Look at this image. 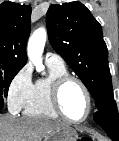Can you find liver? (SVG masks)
Returning a JSON list of instances; mask_svg holds the SVG:
<instances>
[{"mask_svg": "<svg viewBox=\"0 0 119 141\" xmlns=\"http://www.w3.org/2000/svg\"><path fill=\"white\" fill-rule=\"evenodd\" d=\"M62 127V123L43 118L0 115V141H42Z\"/></svg>", "mask_w": 119, "mask_h": 141, "instance_id": "liver-1", "label": "liver"}]
</instances>
